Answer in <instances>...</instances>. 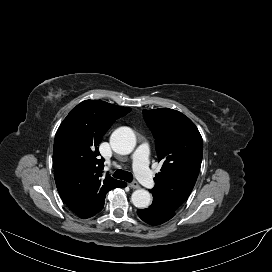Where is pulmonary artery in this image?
I'll use <instances>...</instances> for the list:
<instances>
[{"label": "pulmonary artery", "instance_id": "1", "mask_svg": "<svg viewBox=\"0 0 272 272\" xmlns=\"http://www.w3.org/2000/svg\"><path fill=\"white\" fill-rule=\"evenodd\" d=\"M149 146L146 143L140 144L133 155L134 171L140 182L149 189L155 187V181L148 167Z\"/></svg>", "mask_w": 272, "mask_h": 272}]
</instances>
